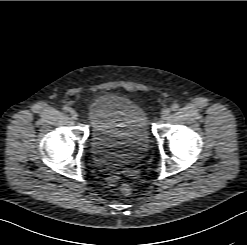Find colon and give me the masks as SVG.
I'll return each mask as SVG.
<instances>
[{
	"label": "colon",
	"instance_id": "colon-1",
	"mask_svg": "<svg viewBox=\"0 0 247 245\" xmlns=\"http://www.w3.org/2000/svg\"><path fill=\"white\" fill-rule=\"evenodd\" d=\"M120 192L125 196H129L132 193V188L129 184L123 183L120 186Z\"/></svg>",
	"mask_w": 247,
	"mask_h": 245
}]
</instances>
